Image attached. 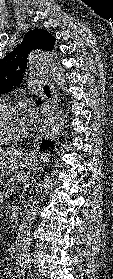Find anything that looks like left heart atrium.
I'll use <instances>...</instances> for the list:
<instances>
[{
	"label": "left heart atrium",
	"instance_id": "39dd6f15",
	"mask_svg": "<svg viewBox=\"0 0 113 279\" xmlns=\"http://www.w3.org/2000/svg\"><path fill=\"white\" fill-rule=\"evenodd\" d=\"M26 117H27V122L28 126L33 124L35 121V111L32 108H29L26 110Z\"/></svg>",
	"mask_w": 113,
	"mask_h": 279
}]
</instances>
